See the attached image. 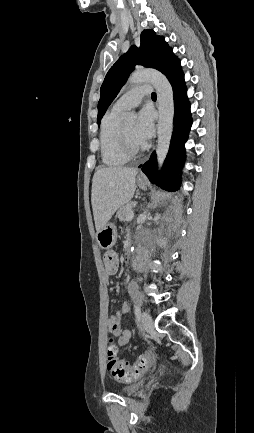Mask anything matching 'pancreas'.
<instances>
[{
  "label": "pancreas",
  "mask_w": 254,
  "mask_h": 433,
  "mask_svg": "<svg viewBox=\"0 0 254 433\" xmlns=\"http://www.w3.org/2000/svg\"><path fill=\"white\" fill-rule=\"evenodd\" d=\"M136 206V202H130L124 206H122L119 211L117 212V217L120 221H126L128 215H130L133 211V207Z\"/></svg>",
  "instance_id": "cf45deb5"
}]
</instances>
